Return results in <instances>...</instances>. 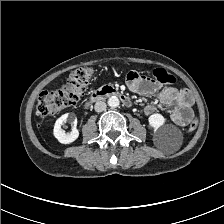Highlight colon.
<instances>
[{
	"mask_svg": "<svg viewBox=\"0 0 224 224\" xmlns=\"http://www.w3.org/2000/svg\"><path fill=\"white\" fill-rule=\"evenodd\" d=\"M154 77L161 83L173 84L175 77L164 68H156L153 71ZM128 76V75H127ZM94 71L91 67L81 66L70 74L66 85L54 91H43L37 101L36 113L39 116L47 117L58 113L60 110L77 103L86 87L93 81ZM198 125L197 120H193L189 125V130H194Z\"/></svg>",
	"mask_w": 224,
	"mask_h": 224,
	"instance_id": "colon-1",
	"label": "colon"
}]
</instances>
